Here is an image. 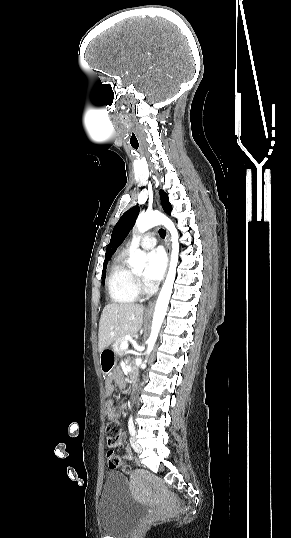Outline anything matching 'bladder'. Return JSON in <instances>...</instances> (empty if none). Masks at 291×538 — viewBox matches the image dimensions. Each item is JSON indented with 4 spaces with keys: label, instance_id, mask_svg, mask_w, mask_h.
Returning <instances> with one entry per match:
<instances>
[{
    "label": "bladder",
    "instance_id": "31cf9c89",
    "mask_svg": "<svg viewBox=\"0 0 291 538\" xmlns=\"http://www.w3.org/2000/svg\"><path fill=\"white\" fill-rule=\"evenodd\" d=\"M146 512L147 507L131 496L125 477L118 472L109 473L97 511L103 533L110 538H124Z\"/></svg>",
    "mask_w": 291,
    "mask_h": 538
}]
</instances>
